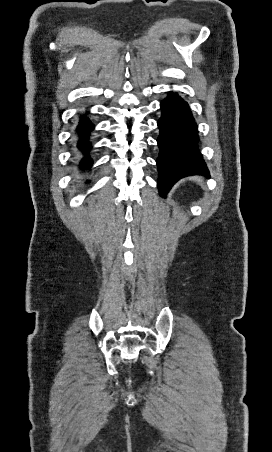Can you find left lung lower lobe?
I'll return each mask as SVG.
<instances>
[{
    "label": "left lung lower lobe",
    "instance_id": "1",
    "mask_svg": "<svg viewBox=\"0 0 272 452\" xmlns=\"http://www.w3.org/2000/svg\"><path fill=\"white\" fill-rule=\"evenodd\" d=\"M162 116L157 124L160 148L156 160L160 195L167 192L179 179L189 175L209 177V171L198 151V130L187 102L177 93H170L161 104Z\"/></svg>",
    "mask_w": 272,
    "mask_h": 452
}]
</instances>
